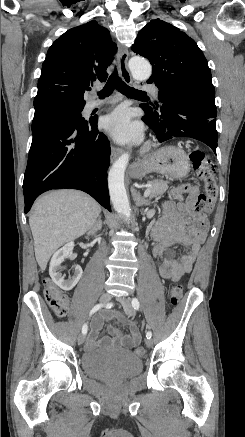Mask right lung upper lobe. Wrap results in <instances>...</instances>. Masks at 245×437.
Masks as SVG:
<instances>
[{
	"label": "right lung upper lobe",
	"mask_w": 245,
	"mask_h": 437,
	"mask_svg": "<svg viewBox=\"0 0 245 437\" xmlns=\"http://www.w3.org/2000/svg\"><path fill=\"white\" fill-rule=\"evenodd\" d=\"M109 31L90 21L69 29L49 48L38 80L35 109L51 104L84 105L87 87L107 79L116 52Z\"/></svg>",
	"instance_id": "1"
}]
</instances>
